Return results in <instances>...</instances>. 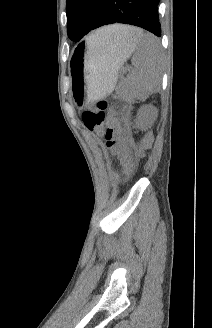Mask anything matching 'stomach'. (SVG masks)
<instances>
[{
	"label": "stomach",
	"mask_w": 212,
	"mask_h": 328,
	"mask_svg": "<svg viewBox=\"0 0 212 328\" xmlns=\"http://www.w3.org/2000/svg\"><path fill=\"white\" fill-rule=\"evenodd\" d=\"M137 39L114 47L78 45L71 58L73 90L80 99L92 101L109 94L117 81L120 66L136 49Z\"/></svg>",
	"instance_id": "0dacf381"
}]
</instances>
